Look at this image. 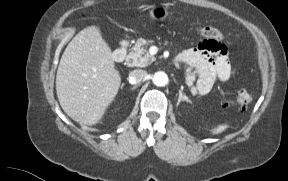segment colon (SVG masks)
Masks as SVG:
<instances>
[{
	"label": "colon",
	"mask_w": 288,
	"mask_h": 181,
	"mask_svg": "<svg viewBox=\"0 0 288 181\" xmlns=\"http://www.w3.org/2000/svg\"><path fill=\"white\" fill-rule=\"evenodd\" d=\"M209 32L214 40L216 41L222 40V33L218 29L213 28V29H210Z\"/></svg>",
	"instance_id": "obj_1"
}]
</instances>
